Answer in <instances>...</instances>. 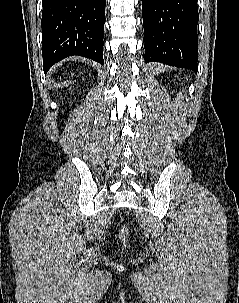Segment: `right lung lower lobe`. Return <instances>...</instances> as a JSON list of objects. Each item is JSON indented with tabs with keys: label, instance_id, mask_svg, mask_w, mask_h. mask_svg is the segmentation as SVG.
<instances>
[{
	"label": "right lung lower lobe",
	"instance_id": "1",
	"mask_svg": "<svg viewBox=\"0 0 239 303\" xmlns=\"http://www.w3.org/2000/svg\"><path fill=\"white\" fill-rule=\"evenodd\" d=\"M105 4L106 0H43L45 73L56 62L73 55L104 63Z\"/></svg>",
	"mask_w": 239,
	"mask_h": 303
}]
</instances>
